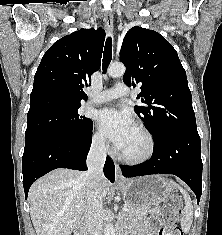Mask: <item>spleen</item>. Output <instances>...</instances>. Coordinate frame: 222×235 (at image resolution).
I'll return each instance as SVG.
<instances>
[{
    "mask_svg": "<svg viewBox=\"0 0 222 235\" xmlns=\"http://www.w3.org/2000/svg\"><path fill=\"white\" fill-rule=\"evenodd\" d=\"M174 186L177 187L180 192L182 193L184 200H185V207L182 211V217H181V228L183 232L188 233L193 221V206L192 201L187 194L185 190H183L180 186H178L176 183H174Z\"/></svg>",
    "mask_w": 222,
    "mask_h": 235,
    "instance_id": "obj_1",
    "label": "spleen"
}]
</instances>
